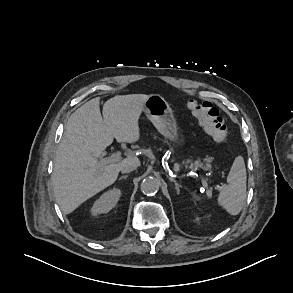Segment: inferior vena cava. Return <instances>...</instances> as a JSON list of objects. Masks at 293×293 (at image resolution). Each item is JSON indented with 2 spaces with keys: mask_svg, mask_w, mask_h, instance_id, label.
Returning <instances> with one entry per match:
<instances>
[{
  "mask_svg": "<svg viewBox=\"0 0 293 293\" xmlns=\"http://www.w3.org/2000/svg\"><path fill=\"white\" fill-rule=\"evenodd\" d=\"M137 167H138V164L136 162H127L122 164L120 171L122 173H129L137 169Z\"/></svg>",
  "mask_w": 293,
  "mask_h": 293,
  "instance_id": "1",
  "label": "inferior vena cava"
}]
</instances>
